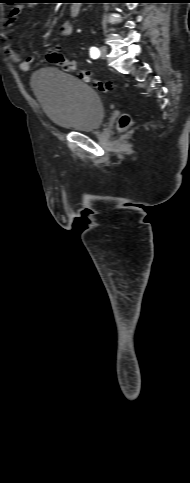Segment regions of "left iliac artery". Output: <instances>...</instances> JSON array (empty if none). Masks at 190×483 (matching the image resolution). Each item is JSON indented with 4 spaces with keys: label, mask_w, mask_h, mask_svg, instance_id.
<instances>
[{
    "label": "left iliac artery",
    "mask_w": 190,
    "mask_h": 483,
    "mask_svg": "<svg viewBox=\"0 0 190 483\" xmlns=\"http://www.w3.org/2000/svg\"><path fill=\"white\" fill-rule=\"evenodd\" d=\"M90 55H91V57H92L93 59L98 58V57H99V55H100V51H99V49H98V48H96V47H91V48H90Z\"/></svg>",
    "instance_id": "1"
}]
</instances>
